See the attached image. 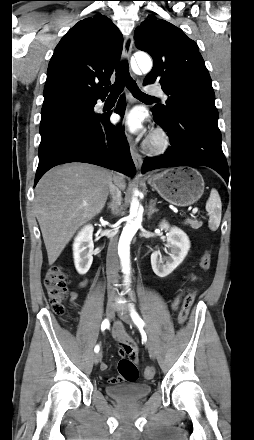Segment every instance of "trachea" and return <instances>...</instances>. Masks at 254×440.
Returning <instances> with one entry per match:
<instances>
[{
    "mask_svg": "<svg viewBox=\"0 0 254 440\" xmlns=\"http://www.w3.org/2000/svg\"><path fill=\"white\" fill-rule=\"evenodd\" d=\"M124 86H126L137 99L156 100L155 97L146 95L138 88L137 83L130 76L129 66L126 61H123L117 68L115 83L109 87V98H117Z\"/></svg>",
    "mask_w": 254,
    "mask_h": 440,
    "instance_id": "3493384b",
    "label": "trachea"
}]
</instances>
